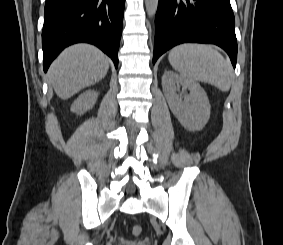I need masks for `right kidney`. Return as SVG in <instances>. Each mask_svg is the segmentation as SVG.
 Returning <instances> with one entry per match:
<instances>
[{
	"label": "right kidney",
	"instance_id": "right-kidney-1",
	"mask_svg": "<svg viewBox=\"0 0 283 245\" xmlns=\"http://www.w3.org/2000/svg\"><path fill=\"white\" fill-rule=\"evenodd\" d=\"M98 93L94 90L83 92L71 105V111L77 114H83L90 110L95 104Z\"/></svg>",
	"mask_w": 283,
	"mask_h": 245
}]
</instances>
